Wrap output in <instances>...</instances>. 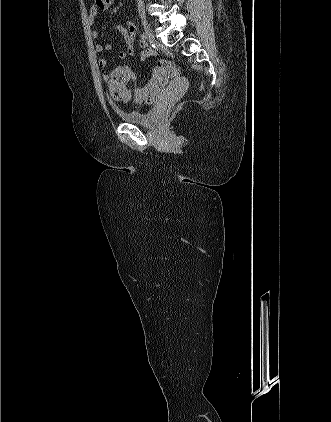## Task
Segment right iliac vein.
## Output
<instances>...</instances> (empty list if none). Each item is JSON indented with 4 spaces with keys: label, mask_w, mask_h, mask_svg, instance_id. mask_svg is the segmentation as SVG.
<instances>
[{
    "label": "right iliac vein",
    "mask_w": 331,
    "mask_h": 422,
    "mask_svg": "<svg viewBox=\"0 0 331 422\" xmlns=\"http://www.w3.org/2000/svg\"><path fill=\"white\" fill-rule=\"evenodd\" d=\"M141 21H142V25H143V28H144V31H145V35H146V37H147L150 41L155 42V37H154V35H153V32H152V30H151V28H150V25H149V23H148V21H147L146 17L142 15V16H141Z\"/></svg>",
    "instance_id": "right-iliac-vein-1"
}]
</instances>
